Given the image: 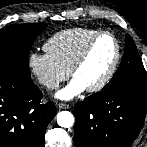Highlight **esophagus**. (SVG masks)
I'll return each mask as SVG.
<instances>
[{"mask_svg":"<svg viewBox=\"0 0 147 147\" xmlns=\"http://www.w3.org/2000/svg\"><path fill=\"white\" fill-rule=\"evenodd\" d=\"M58 108L59 109H68L70 108V106L68 104H65V103H58Z\"/></svg>","mask_w":147,"mask_h":147,"instance_id":"obj_1","label":"esophagus"}]
</instances>
